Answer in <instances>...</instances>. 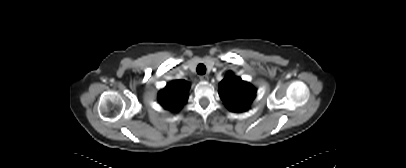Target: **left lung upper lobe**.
<instances>
[{
    "instance_id": "5c2ea615",
    "label": "left lung upper lobe",
    "mask_w": 406,
    "mask_h": 168,
    "mask_svg": "<svg viewBox=\"0 0 406 168\" xmlns=\"http://www.w3.org/2000/svg\"><path fill=\"white\" fill-rule=\"evenodd\" d=\"M219 95L227 108L233 112H242L248 109L256 96V89L248 82L228 72L220 82Z\"/></svg>"
}]
</instances>
